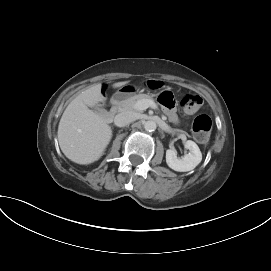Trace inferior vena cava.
<instances>
[{"label": "inferior vena cava", "instance_id": "1", "mask_svg": "<svg viewBox=\"0 0 271 271\" xmlns=\"http://www.w3.org/2000/svg\"><path fill=\"white\" fill-rule=\"evenodd\" d=\"M136 120V115L130 111H125L117 114L115 116V125L119 127H124L131 122H134Z\"/></svg>", "mask_w": 271, "mask_h": 271}]
</instances>
